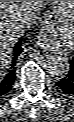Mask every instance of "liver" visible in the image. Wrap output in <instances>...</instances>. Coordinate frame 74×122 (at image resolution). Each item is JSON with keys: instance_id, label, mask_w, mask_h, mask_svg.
I'll use <instances>...</instances> for the list:
<instances>
[{"instance_id": "obj_1", "label": "liver", "mask_w": 74, "mask_h": 122, "mask_svg": "<svg viewBox=\"0 0 74 122\" xmlns=\"http://www.w3.org/2000/svg\"><path fill=\"white\" fill-rule=\"evenodd\" d=\"M47 3L58 1H0V73L8 68L12 49L24 35L27 28H21L23 21L37 18L40 9Z\"/></svg>"}]
</instances>
